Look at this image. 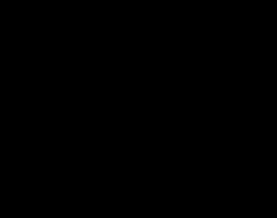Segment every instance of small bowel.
Here are the masks:
<instances>
[{"label": "small bowel", "mask_w": 277, "mask_h": 218, "mask_svg": "<svg viewBox=\"0 0 277 218\" xmlns=\"http://www.w3.org/2000/svg\"><path fill=\"white\" fill-rule=\"evenodd\" d=\"M163 44L171 45L173 47H179L184 51H187L192 58L198 59L199 57L198 54L186 48L178 39L162 35H155L151 37V39L149 40V42H147V44H145V46H137L136 49L138 53H141L142 51H147V53H149L150 55H158ZM73 51L74 49L72 47H67L60 52L59 57L61 59H66L73 53ZM136 59V57L129 55L123 56V61L125 63H133L136 61ZM48 71L59 76V78L64 82L69 80L68 76L58 74V61L50 63L48 65Z\"/></svg>", "instance_id": "small-bowel-1"}]
</instances>
